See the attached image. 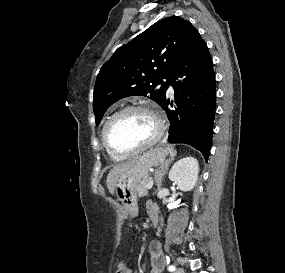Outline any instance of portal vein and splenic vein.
Instances as JSON below:
<instances>
[{
	"mask_svg": "<svg viewBox=\"0 0 285 273\" xmlns=\"http://www.w3.org/2000/svg\"><path fill=\"white\" fill-rule=\"evenodd\" d=\"M153 184H154V182H153V180L151 179L150 182H149V184H148V189H151V188L153 187Z\"/></svg>",
	"mask_w": 285,
	"mask_h": 273,
	"instance_id": "obj_1",
	"label": "portal vein and splenic vein"
}]
</instances>
